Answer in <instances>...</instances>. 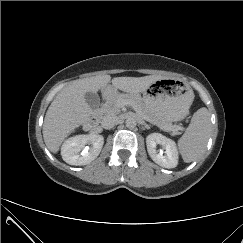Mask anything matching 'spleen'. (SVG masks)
Listing matches in <instances>:
<instances>
[{"instance_id":"spleen-1","label":"spleen","mask_w":243,"mask_h":243,"mask_svg":"<svg viewBox=\"0 0 243 243\" xmlns=\"http://www.w3.org/2000/svg\"><path fill=\"white\" fill-rule=\"evenodd\" d=\"M210 131V114L207 108L202 107L193 114L186 132L178 140V149L184 162H193L205 152Z\"/></svg>"}]
</instances>
